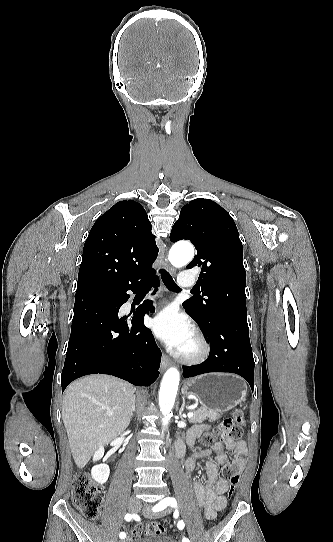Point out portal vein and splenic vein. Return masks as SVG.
<instances>
[{"instance_id":"18ae733b","label":"portal vein and splenic vein","mask_w":333,"mask_h":542,"mask_svg":"<svg viewBox=\"0 0 333 542\" xmlns=\"http://www.w3.org/2000/svg\"><path fill=\"white\" fill-rule=\"evenodd\" d=\"M187 416H188V418H193L194 414H193V412H188Z\"/></svg>"}]
</instances>
